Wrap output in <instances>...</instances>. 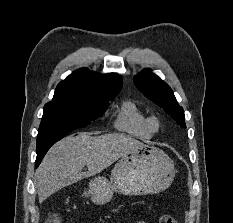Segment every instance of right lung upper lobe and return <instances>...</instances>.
<instances>
[{
    "label": "right lung upper lobe",
    "mask_w": 233,
    "mask_h": 223,
    "mask_svg": "<svg viewBox=\"0 0 233 223\" xmlns=\"http://www.w3.org/2000/svg\"><path fill=\"white\" fill-rule=\"evenodd\" d=\"M121 87L122 78L118 74L102 75L83 68L58 84L53 99L109 103Z\"/></svg>",
    "instance_id": "cb5924a9"
}]
</instances>
